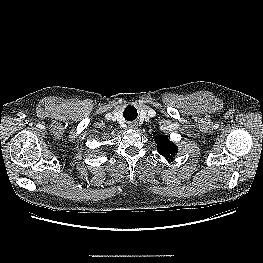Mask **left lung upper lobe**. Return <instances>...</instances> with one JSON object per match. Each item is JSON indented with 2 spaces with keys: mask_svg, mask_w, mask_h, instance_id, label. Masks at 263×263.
Listing matches in <instances>:
<instances>
[{
  "mask_svg": "<svg viewBox=\"0 0 263 263\" xmlns=\"http://www.w3.org/2000/svg\"><path fill=\"white\" fill-rule=\"evenodd\" d=\"M157 143L158 152L164 157H170L177 152V147L173 144L167 136H157L155 137Z\"/></svg>",
  "mask_w": 263,
  "mask_h": 263,
  "instance_id": "5c2ea615",
  "label": "left lung upper lobe"
}]
</instances>
